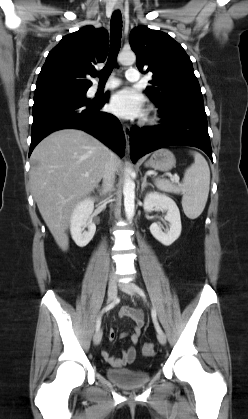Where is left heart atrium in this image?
<instances>
[{"label": "left heart atrium", "instance_id": "39dd6f15", "mask_svg": "<svg viewBox=\"0 0 248 419\" xmlns=\"http://www.w3.org/2000/svg\"><path fill=\"white\" fill-rule=\"evenodd\" d=\"M109 109L121 118L140 117L144 114V98L134 89L125 88L111 97Z\"/></svg>", "mask_w": 248, "mask_h": 419}]
</instances>
